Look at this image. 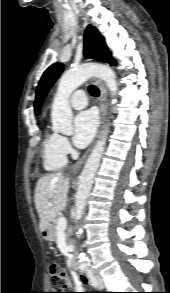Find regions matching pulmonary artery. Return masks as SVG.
<instances>
[{"instance_id": "e3ab8cb5", "label": "pulmonary artery", "mask_w": 170, "mask_h": 293, "mask_svg": "<svg viewBox=\"0 0 170 293\" xmlns=\"http://www.w3.org/2000/svg\"><path fill=\"white\" fill-rule=\"evenodd\" d=\"M70 105L74 109H83L87 106L88 101L86 98V94L83 90L75 91L70 97Z\"/></svg>"}]
</instances>
